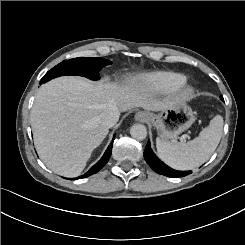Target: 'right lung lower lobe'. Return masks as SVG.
Returning <instances> with one entry per match:
<instances>
[{"label":"right lung lower lobe","instance_id":"1","mask_svg":"<svg viewBox=\"0 0 245 245\" xmlns=\"http://www.w3.org/2000/svg\"><path fill=\"white\" fill-rule=\"evenodd\" d=\"M114 141V139H113ZM113 141L111 142V144L108 146L107 150L105 151L104 155L102 156V158L94 165L90 168V170L88 172H86L84 175L78 177V178H73L72 180L75 179H82V178H86L89 177L95 173H97L100 169H102L104 167V165L108 162L111 153H112V147H113Z\"/></svg>","mask_w":245,"mask_h":245}]
</instances>
